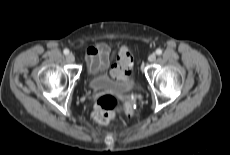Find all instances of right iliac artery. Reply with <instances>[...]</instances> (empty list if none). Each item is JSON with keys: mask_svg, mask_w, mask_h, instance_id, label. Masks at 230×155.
Masks as SVG:
<instances>
[{"mask_svg": "<svg viewBox=\"0 0 230 155\" xmlns=\"http://www.w3.org/2000/svg\"><path fill=\"white\" fill-rule=\"evenodd\" d=\"M63 53H64L65 55H67V54H69V50H68V49H64Z\"/></svg>", "mask_w": 230, "mask_h": 155, "instance_id": "82829eb1", "label": "right iliac artery"}]
</instances>
